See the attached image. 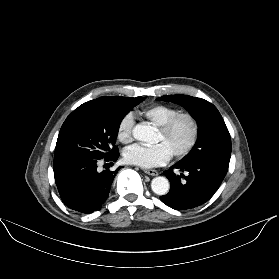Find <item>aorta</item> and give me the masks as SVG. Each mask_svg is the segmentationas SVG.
<instances>
[{
    "label": "aorta",
    "instance_id": "obj_1",
    "mask_svg": "<svg viewBox=\"0 0 279 279\" xmlns=\"http://www.w3.org/2000/svg\"><path fill=\"white\" fill-rule=\"evenodd\" d=\"M133 137L142 142H153L156 133L153 127L145 124L136 125L133 129ZM152 191L157 195H165L168 193L170 184L167 178L158 176L151 182Z\"/></svg>",
    "mask_w": 279,
    "mask_h": 279
}]
</instances>
